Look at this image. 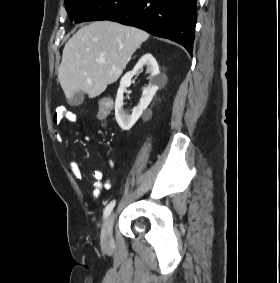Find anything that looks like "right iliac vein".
<instances>
[{
    "label": "right iliac vein",
    "instance_id": "63e3f726",
    "mask_svg": "<svg viewBox=\"0 0 280 283\" xmlns=\"http://www.w3.org/2000/svg\"><path fill=\"white\" fill-rule=\"evenodd\" d=\"M115 214H111L103 226L101 232V245L104 249H109L113 244L112 229L114 225Z\"/></svg>",
    "mask_w": 280,
    "mask_h": 283
}]
</instances>
